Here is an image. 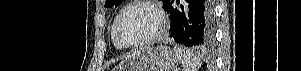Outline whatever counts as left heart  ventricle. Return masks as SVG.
Instances as JSON below:
<instances>
[{
  "label": "left heart ventricle",
  "mask_w": 301,
  "mask_h": 71,
  "mask_svg": "<svg viewBox=\"0 0 301 71\" xmlns=\"http://www.w3.org/2000/svg\"><path fill=\"white\" fill-rule=\"evenodd\" d=\"M157 23V17L150 9L143 6L132 7L121 18L120 37L126 43H136L151 35Z\"/></svg>",
  "instance_id": "b2bd125f"
}]
</instances>
